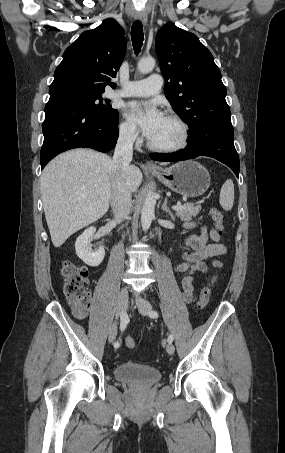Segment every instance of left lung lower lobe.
<instances>
[{"instance_id":"obj_1","label":"left lung lower lobe","mask_w":285,"mask_h":453,"mask_svg":"<svg viewBox=\"0 0 285 453\" xmlns=\"http://www.w3.org/2000/svg\"><path fill=\"white\" fill-rule=\"evenodd\" d=\"M233 140L232 124L209 123L189 132L188 144L184 150L169 154L152 153L150 157L156 161H181L208 156L229 166L238 177L239 157Z\"/></svg>"}]
</instances>
